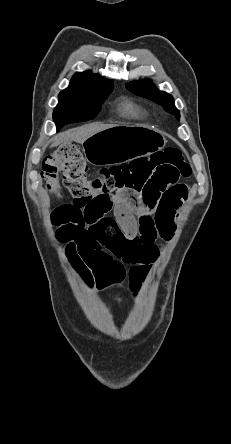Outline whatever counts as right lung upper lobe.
I'll list each match as a JSON object with an SVG mask.
<instances>
[{
    "instance_id": "obj_1",
    "label": "right lung upper lobe",
    "mask_w": 231,
    "mask_h": 444,
    "mask_svg": "<svg viewBox=\"0 0 231 444\" xmlns=\"http://www.w3.org/2000/svg\"><path fill=\"white\" fill-rule=\"evenodd\" d=\"M113 88V83L102 78L100 75H94L91 71L76 73L70 82V85L64 91L78 93H96Z\"/></svg>"
}]
</instances>
